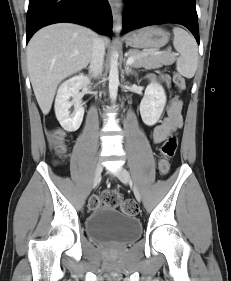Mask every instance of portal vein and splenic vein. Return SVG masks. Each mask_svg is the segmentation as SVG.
<instances>
[{
	"mask_svg": "<svg viewBox=\"0 0 231 281\" xmlns=\"http://www.w3.org/2000/svg\"><path fill=\"white\" fill-rule=\"evenodd\" d=\"M159 53H160L159 51H153V52H151V53H149V54L157 55V54H159ZM144 55H148V54H144ZM172 55H176V53H173ZM135 59H136V57H129V58L127 59V64H128V65H131V64L135 61Z\"/></svg>",
	"mask_w": 231,
	"mask_h": 281,
	"instance_id": "18ae733b",
	"label": "portal vein and splenic vein"
}]
</instances>
